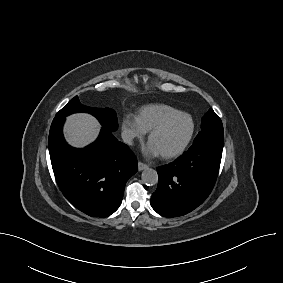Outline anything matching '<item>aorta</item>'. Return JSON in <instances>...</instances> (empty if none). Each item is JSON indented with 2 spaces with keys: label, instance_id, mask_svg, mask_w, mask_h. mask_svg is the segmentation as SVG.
<instances>
[{
  "label": "aorta",
  "instance_id": "obj_1",
  "mask_svg": "<svg viewBox=\"0 0 283 283\" xmlns=\"http://www.w3.org/2000/svg\"><path fill=\"white\" fill-rule=\"evenodd\" d=\"M142 181L146 185L153 186L158 182L157 171L151 168H147L142 172Z\"/></svg>",
  "mask_w": 283,
  "mask_h": 283
}]
</instances>
